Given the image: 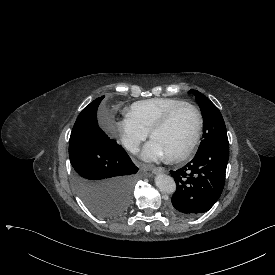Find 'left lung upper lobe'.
Returning a JSON list of instances; mask_svg holds the SVG:
<instances>
[{
    "label": "left lung upper lobe",
    "mask_w": 275,
    "mask_h": 275,
    "mask_svg": "<svg viewBox=\"0 0 275 275\" xmlns=\"http://www.w3.org/2000/svg\"><path fill=\"white\" fill-rule=\"evenodd\" d=\"M198 99L204 115V140L198 152L215 144H228L226 126L218 108L203 94L190 90Z\"/></svg>",
    "instance_id": "5c2ea615"
}]
</instances>
